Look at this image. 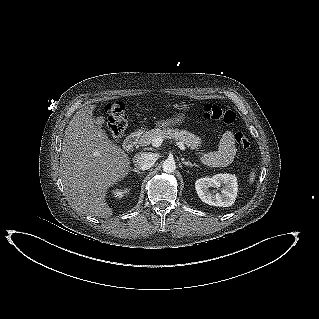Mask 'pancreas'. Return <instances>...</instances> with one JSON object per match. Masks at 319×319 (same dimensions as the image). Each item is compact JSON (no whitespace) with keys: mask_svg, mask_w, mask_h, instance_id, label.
<instances>
[{"mask_svg":"<svg viewBox=\"0 0 319 319\" xmlns=\"http://www.w3.org/2000/svg\"><path fill=\"white\" fill-rule=\"evenodd\" d=\"M156 137H161L162 139H170L175 142H181L191 150L195 151H198L202 144L201 138L195 136L189 131L178 130L173 128H165L163 130L160 128L151 129L141 136L139 144L141 146L150 145L153 143V139Z\"/></svg>","mask_w":319,"mask_h":319,"instance_id":"obj_1","label":"pancreas"}]
</instances>
